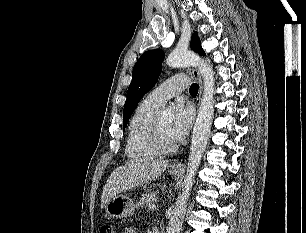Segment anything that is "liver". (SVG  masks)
Here are the masks:
<instances>
[{
    "label": "liver",
    "mask_w": 306,
    "mask_h": 233,
    "mask_svg": "<svg viewBox=\"0 0 306 233\" xmlns=\"http://www.w3.org/2000/svg\"><path fill=\"white\" fill-rule=\"evenodd\" d=\"M167 166L168 161L165 160H141L115 169L104 186L101 208L119 193L155 180L166 170Z\"/></svg>",
    "instance_id": "6515ba94"
}]
</instances>
